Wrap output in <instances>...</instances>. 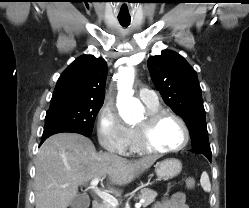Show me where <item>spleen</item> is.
I'll return each instance as SVG.
<instances>
[{
	"mask_svg": "<svg viewBox=\"0 0 249 208\" xmlns=\"http://www.w3.org/2000/svg\"><path fill=\"white\" fill-rule=\"evenodd\" d=\"M200 183L205 192L211 191V184L209 180V176L206 172H203L200 178Z\"/></svg>",
	"mask_w": 249,
	"mask_h": 208,
	"instance_id": "1",
	"label": "spleen"
}]
</instances>
